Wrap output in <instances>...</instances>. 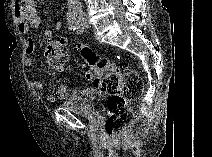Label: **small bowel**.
<instances>
[{"mask_svg":"<svg viewBox=\"0 0 212 157\" xmlns=\"http://www.w3.org/2000/svg\"><path fill=\"white\" fill-rule=\"evenodd\" d=\"M14 17L16 19L17 28L19 32L26 36L25 39V64L26 66H32L34 64L33 53L35 51V40L29 35V32L36 29L41 24V18L34 6L33 1H17L14 4ZM55 30L59 31L63 28V23L57 21L54 25ZM53 35V30L46 29L44 36L50 38ZM29 85L37 90H42L44 85L40 81H30ZM67 95V87L61 85L55 94L48 93L46 100L48 102H55L57 99H62Z\"/></svg>","mask_w":212,"mask_h":157,"instance_id":"c3829d8e","label":"small bowel"}]
</instances>
